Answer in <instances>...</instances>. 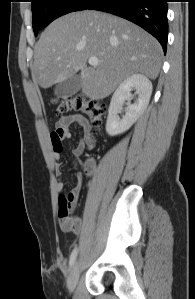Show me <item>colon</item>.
<instances>
[{
  "mask_svg": "<svg viewBox=\"0 0 195 299\" xmlns=\"http://www.w3.org/2000/svg\"><path fill=\"white\" fill-rule=\"evenodd\" d=\"M56 113L63 115L69 112L86 115L93 125L99 126L106 112V105L99 101L86 98L82 94L62 96L53 100ZM73 211L71 199L63 196L59 204V216L67 217Z\"/></svg>",
  "mask_w": 195,
  "mask_h": 299,
  "instance_id": "1",
  "label": "colon"
}]
</instances>
